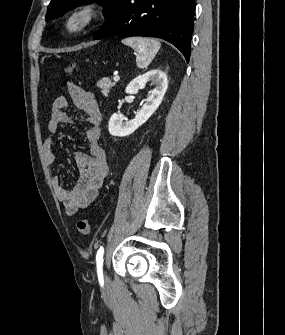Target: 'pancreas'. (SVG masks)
<instances>
[{"mask_svg":"<svg viewBox=\"0 0 285 335\" xmlns=\"http://www.w3.org/2000/svg\"><path fill=\"white\" fill-rule=\"evenodd\" d=\"M97 86L98 88H101V92L102 94H104V96H108L111 88H113V86H116V84L115 82H112L110 78H102V80H99V82H97Z\"/></svg>","mask_w":285,"mask_h":335,"instance_id":"pancreas-1","label":"pancreas"}]
</instances>
